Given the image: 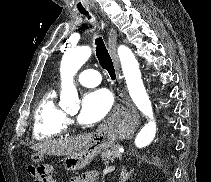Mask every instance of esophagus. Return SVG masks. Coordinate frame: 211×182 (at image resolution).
<instances>
[{"instance_id":"1","label":"esophagus","mask_w":211,"mask_h":182,"mask_svg":"<svg viewBox=\"0 0 211 182\" xmlns=\"http://www.w3.org/2000/svg\"><path fill=\"white\" fill-rule=\"evenodd\" d=\"M116 46H117V35L116 32L112 29L109 28L108 29V47H109V53L112 57L114 66H115V71H116V75H117V79L119 81V83L121 84L122 82V77H121V71H120V63H119V59L117 56V52H116ZM117 99L119 101H122L123 103L129 104L130 100L128 98V96L126 95L125 91H120L117 95ZM116 107L113 110V113L115 112ZM113 113L110 114V116L107 118L106 122L104 123L103 126H101L100 130H104L107 128V126L110 124L111 121V117L113 115Z\"/></svg>"}]
</instances>
